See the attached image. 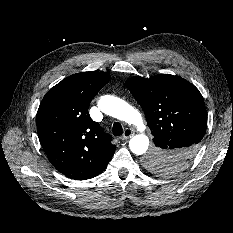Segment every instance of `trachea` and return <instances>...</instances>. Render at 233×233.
I'll return each mask as SVG.
<instances>
[{"instance_id":"trachea-1","label":"trachea","mask_w":233,"mask_h":233,"mask_svg":"<svg viewBox=\"0 0 233 233\" xmlns=\"http://www.w3.org/2000/svg\"><path fill=\"white\" fill-rule=\"evenodd\" d=\"M112 131H113V135L114 136H120V135H122V133H123L122 125L119 122H115L113 124Z\"/></svg>"}]
</instances>
